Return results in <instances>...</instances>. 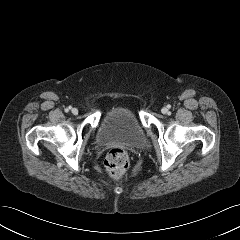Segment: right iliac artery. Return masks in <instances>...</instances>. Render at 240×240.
<instances>
[{
    "instance_id": "82829eb1",
    "label": "right iliac artery",
    "mask_w": 240,
    "mask_h": 240,
    "mask_svg": "<svg viewBox=\"0 0 240 240\" xmlns=\"http://www.w3.org/2000/svg\"><path fill=\"white\" fill-rule=\"evenodd\" d=\"M71 108H72L71 106L67 107L66 112L69 111Z\"/></svg>"
}]
</instances>
